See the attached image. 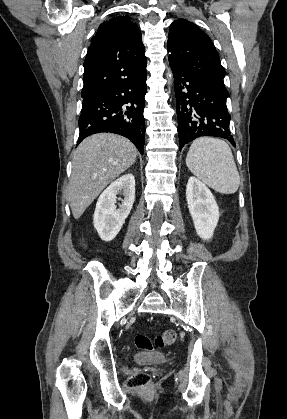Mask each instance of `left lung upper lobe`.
<instances>
[{
  "label": "left lung upper lobe",
  "mask_w": 287,
  "mask_h": 419,
  "mask_svg": "<svg viewBox=\"0 0 287 419\" xmlns=\"http://www.w3.org/2000/svg\"><path fill=\"white\" fill-rule=\"evenodd\" d=\"M167 47L173 70L224 79L226 72L211 39L195 24L184 19L175 20L170 26Z\"/></svg>",
  "instance_id": "1"
}]
</instances>
